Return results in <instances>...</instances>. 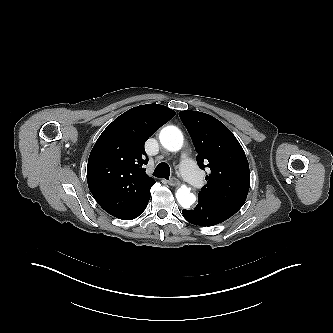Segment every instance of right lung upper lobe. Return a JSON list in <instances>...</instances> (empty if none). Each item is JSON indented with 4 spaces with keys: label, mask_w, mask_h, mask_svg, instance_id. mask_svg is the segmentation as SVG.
Segmentation results:
<instances>
[{
    "label": "right lung upper lobe",
    "mask_w": 333,
    "mask_h": 333,
    "mask_svg": "<svg viewBox=\"0 0 333 333\" xmlns=\"http://www.w3.org/2000/svg\"><path fill=\"white\" fill-rule=\"evenodd\" d=\"M175 112L159 104L129 109L102 132L88 160L87 182L99 205L117 218L150 192L155 183L146 174L145 141Z\"/></svg>",
    "instance_id": "cb5924a9"
}]
</instances>
